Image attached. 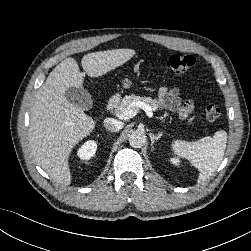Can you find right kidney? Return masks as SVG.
<instances>
[{"instance_id":"obj_1","label":"right kidney","mask_w":251,"mask_h":251,"mask_svg":"<svg viewBox=\"0 0 251 251\" xmlns=\"http://www.w3.org/2000/svg\"><path fill=\"white\" fill-rule=\"evenodd\" d=\"M97 150V144L95 141H87L78 149V157L81 160H89L92 158Z\"/></svg>"}]
</instances>
